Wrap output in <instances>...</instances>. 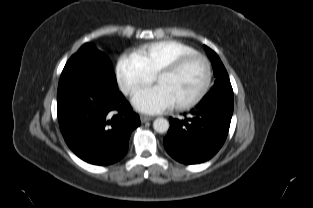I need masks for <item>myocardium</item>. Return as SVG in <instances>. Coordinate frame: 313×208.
<instances>
[{"label": "myocardium", "instance_id": "1", "mask_svg": "<svg viewBox=\"0 0 313 208\" xmlns=\"http://www.w3.org/2000/svg\"><path fill=\"white\" fill-rule=\"evenodd\" d=\"M197 59L201 60L205 66L206 76H205L204 84L201 90L199 91V93L195 97H193L192 99L186 102L175 104L174 107L177 110H187L196 106L198 103H200L203 100V98L208 93L211 83H212V78H213L212 65H211L210 60L205 55L198 53V52L185 54L176 58L171 63L163 66L155 74L154 79L155 81H157L159 77L163 75L174 74L180 71L184 66H186L191 61L197 60Z\"/></svg>", "mask_w": 313, "mask_h": 208}]
</instances>
